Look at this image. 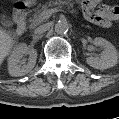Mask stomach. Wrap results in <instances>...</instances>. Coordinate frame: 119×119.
Returning a JSON list of instances; mask_svg holds the SVG:
<instances>
[{
  "instance_id": "1",
  "label": "stomach",
  "mask_w": 119,
  "mask_h": 119,
  "mask_svg": "<svg viewBox=\"0 0 119 119\" xmlns=\"http://www.w3.org/2000/svg\"><path fill=\"white\" fill-rule=\"evenodd\" d=\"M25 5L30 6L33 3V0H24Z\"/></svg>"
}]
</instances>
